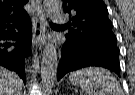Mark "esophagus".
Returning <instances> with one entry per match:
<instances>
[{
    "label": "esophagus",
    "mask_w": 135,
    "mask_h": 95,
    "mask_svg": "<svg viewBox=\"0 0 135 95\" xmlns=\"http://www.w3.org/2000/svg\"><path fill=\"white\" fill-rule=\"evenodd\" d=\"M32 21H33V47L41 49L46 38V22L40 0H31Z\"/></svg>",
    "instance_id": "obj_1"
}]
</instances>
